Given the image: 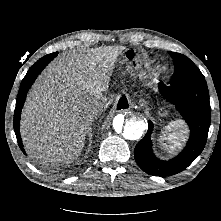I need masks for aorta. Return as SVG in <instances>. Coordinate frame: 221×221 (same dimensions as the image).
Listing matches in <instances>:
<instances>
[{
  "mask_svg": "<svg viewBox=\"0 0 221 221\" xmlns=\"http://www.w3.org/2000/svg\"><path fill=\"white\" fill-rule=\"evenodd\" d=\"M146 129V122L138 114H118L112 122V130L123 140H139Z\"/></svg>",
  "mask_w": 221,
  "mask_h": 221,
  "instance_id": "aorta-1",
  "label": "aorta"
}]
</instances>
